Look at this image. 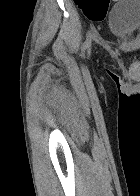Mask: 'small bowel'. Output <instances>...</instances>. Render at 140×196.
<instances>
[{
	"mask_svg": "<svg viewBox=\"0 0 140 196\" xmlns=\"http://www.w3.org/2000/svg\"><path fill=\"white\" fill-rule=\"evenodd\" d=\"M112 1L117 2L118 0H112Z\"/></svg>",
	"mask_w": 140,
	"mask_h": 196,
	"instance_id": "obj_1",
	"label": "small bowel"
}]
</instances>
